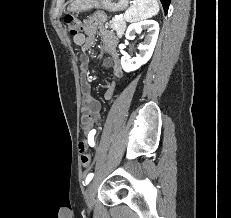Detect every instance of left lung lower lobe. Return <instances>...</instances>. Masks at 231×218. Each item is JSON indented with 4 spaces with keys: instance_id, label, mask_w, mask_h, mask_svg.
<instances>
[{
    "instance_id": "left-lung-lower-lobe-1",
    "label": "left lung lower lobe",
    "mask_w": 231,
    "mask_h": 218,
    "mask_svg": "<svg viewBox=\"0 0 231 218\" xmlns=\"http://www.w3.org/2000/svg\"><path fill=\"white\" fill-rule=\"evenodd\" d=\"M162 5H163V8H164V11H165V14L167 13L168 11V8H169V4H170V1L171 0H160Z\"/></svg>"
}]
</instances>
